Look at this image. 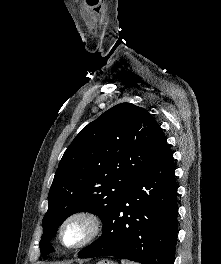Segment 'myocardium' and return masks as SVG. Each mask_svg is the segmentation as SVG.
<instances>
[{"mask_svg":"<svg viewBox=\"0 0 221 264\" xmlns=\"http://www.w3.org/2000/svg\"><path fill=\"white\" fill-rule=\"evenodd\" d=\"M83 221L88 226V233L86 237L80 242L68 245L63 240V232L66 226L73 221ZM104 222L102 217L95 211L89 209H78L68 214L59 226L58 239L61 245L70 250L83 248L94 242L102 233Z\"/></svg>","mask_w":221,"mask_h":264,"instance_id":"f54148a6","label":"myocardium"}]
</instances>
